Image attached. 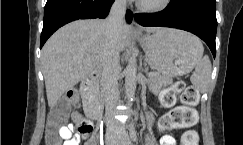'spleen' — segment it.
Wrapping results in <instances>:
<instances>
[{
	"label": "spleen",
	"mask_w": 243,
	"mask_h": 145,
	"mask_svg": "<svg viewBox=\"0 0 243 145\" xmlns=\"http://www.w3.org/2000/svg\"><path fill=\"white\" fill-rule=\"evenodd\" d=\"M201 53L195 65V72L192 74L190 80L192 84L201 92L206 91L211 77L212 65L207 55L202 57Z\"/></svg>",
	"instance_id": "spleen-1"
}]
</instances>
